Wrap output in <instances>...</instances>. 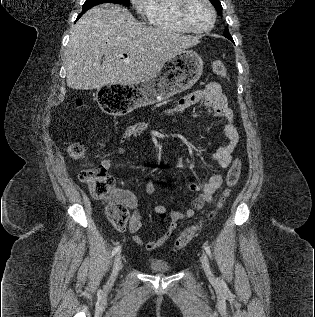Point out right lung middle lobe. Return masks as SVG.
Returning <instances> with one entry per match:
<instances>
[{
	"label": "right lung middle lobe",
	"mask_w": 315,
	"mask_h": 317,
	"mask_svg": "<svg viewBox=\"0 0 315 317\" xmlns=\"http://www.w3.org/2000/svg\"><path fill=\"white\" fill-rule=\"evenodd\" d=\"M102 3H115V4H123V5L129 6L130 0H86L83 5V10L80 16L83 13H85L87 10H89L90 8Z\"/></svg>",
	"instance_id": "dd1d6c3e"
}]
</instances>
